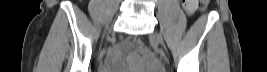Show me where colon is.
<instances>
[{
	"label": "colon",
	"instance_id": "1",
	"mask_svg": "<svg viewBox=\"0 0 267 72\" xmlns=\"http://www.w3.org/2000/svg\"><path fill=\"white\" fill-rule=\"evenodd\" d=\"M210 0H199L197 1V5L199 4V6L201 7H206L209 4Z\"/></svg>",
	"mask_w": 267,
	"mask_h": 72
}]
</instances>
